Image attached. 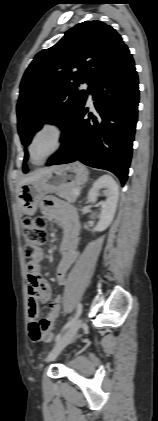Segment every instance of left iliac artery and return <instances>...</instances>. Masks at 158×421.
Here are the masks:
<instances>
[{
  "label": "left iliac artery",
  "instance_id": "obj_1",
  "mask_svg": "<svg viewBox=\"0 0 158 421\" xmlns=\"http://www.w3.org/2000/svg\"><path fill=\"white\" fill-rule=\"evenodd\" d=\"M81 313H82V304L79 303L77 306V311H76L75 316L64 325L61 332L58 333L57 336L55 337L56 342H58L61 339L62 333L75 322V320L81 315Z\"/></svg>",
  "mask_w": 158,
  "mask_h": 421
}]
</instances>
